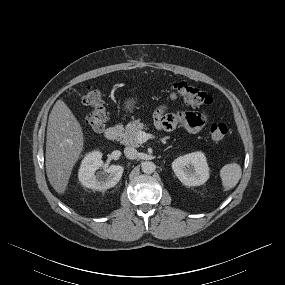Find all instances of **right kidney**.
<instances>
[{"label": "right kidney", "mask_w": 285, "mask_h": 285, "mask_svg": "<svg viewBox=\"0 0 285 285\" xmlns=\"http://www.w3.org/2000/svg\"><path fill=\"white\" fill-rule=\"evenodd\" d=\"M101 158V152L93 151L82 160L78 178L84 187L103 191L114 187L121 179L123 167L120 165L106 166ZM100 167L103 171L96 172Z\"/></svg>", "instance_id": "obj_1"}]
</instances>
